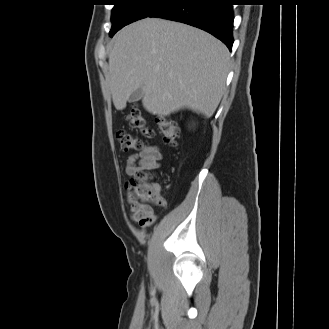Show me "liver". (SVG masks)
Returning a JSON list of instances; mask_svg holds the SVG:
<instances>
[{
	"instance_id": "6515ba94",
	"label": "liver",
	"mask_w": 329,
	"mask_h": 329,
	"mask_svg": "<svg viewBox=\"0 0 329 329\" xmlns=\"http://www.w3.org/2000/svg\"><path fill=\"white\" fill-rule=\"evenodd\" d=\"M107 84L117 110L142 87L143 107L168 116L183 108L211 117L225 90L227 47L195 27L146 18L113 38Z\"/></svg>"
}]
</instances>
